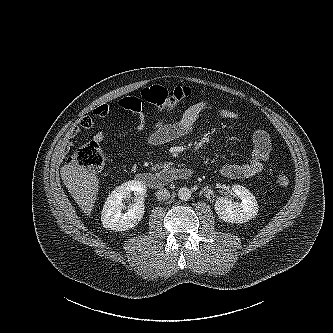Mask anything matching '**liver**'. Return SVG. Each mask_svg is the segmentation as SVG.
<instances>
[{"label":"liver","mask_w":333,"mask_h":333,"mask_svg":"<svg viewBox=\"0 0 333 333\" xmlns=\"http://www.w3.org/2000/svg\"><path fill=\"white\" fill-rule=\"evenodd\" d=\"M61 177L75 202L90 216L99 190V179L95 171L72 162L61 168Z\"/></svg>","instance_id":"1"}]
</instances>
